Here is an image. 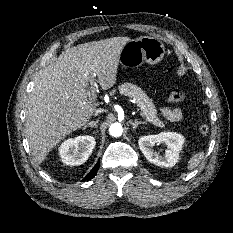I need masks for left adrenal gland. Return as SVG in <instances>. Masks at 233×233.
<instances>
[{
	"mask_svg": "<svg viewBox=\"0 0 233 233\" xmlns=\"http://www.w3.org/2000/svg\"><path fill=\"white\" fill-rule=\"evenodd\" d=\"M129 123L132 125L133 130H135L138 127V125L145 124L146 122H142L138 120H135V121L130 120Z\"/></svg>",
	"mask_w": 233,
	"mask_h": 233,
	"instance_id": "left-adrenal-gland-1",
	"label": "left adrenal gland"
}]
</instances>
